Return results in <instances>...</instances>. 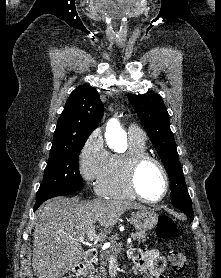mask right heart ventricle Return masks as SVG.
Masks as SVG:
<instances>
[{
	"mask_svg": "<svg viewBox=\"0 0 221 278\" xmlns=\"http://www.w3.org/2000/svg\"><path fill=\"white\" fill-rule=\"evenodd\" d=\"M137 153H147L146 141L130 136L128 150L124 154H110L108 168L97 183V190L101 195L115 199L135 198L125 182L124 159Z\"/></svg>",
	"mask_w": 221,
	"mask_h": 278,
	"instance_id": "e07e8e85",
	"label": "right heart ventricle"
}]
</instances>
